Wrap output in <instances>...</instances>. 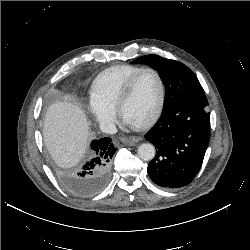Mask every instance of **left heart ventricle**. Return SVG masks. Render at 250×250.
<instances>
[{
    "mask_svg": "<svg viewBox=\"0 0 250 250\" xmlns=\"http://www.w3.org/2000/svg\"><path fill=\"white\" fill-rule=\"evenodd\" d=\"M159 94L158 82L151 72L142 73L135 81L131 94L122 108V118L136 126L153 112Z\"/></svg>",
    "mask_w": 250,
    "mask_h": 250,
    "instance_id": "obj_1",
    "label": "left heart ventricle"
}]
</instances>
